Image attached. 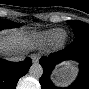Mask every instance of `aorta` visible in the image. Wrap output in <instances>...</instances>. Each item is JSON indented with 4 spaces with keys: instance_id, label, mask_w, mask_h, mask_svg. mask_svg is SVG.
<instances>
[{
    "instance_id": "762f6f07",
    "label": "aorta",
    "mask_w": 89,
    "mask_h": 89,
    "mask_svg": "<svg viewBox=\"0 0 89 89\" xmlns=\"http://www.w3.org/2000/svg\"><path fill=\"white\" fill-rule=\"evenodd\" d=\"M30 76L40 78L43 74V68L40 64H33L29 69Z\"/></svg>"
}]
</instances>
